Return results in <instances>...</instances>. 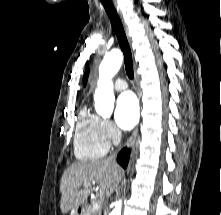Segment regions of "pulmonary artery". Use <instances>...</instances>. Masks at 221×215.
<instances>
[{
	"mask_svg": "<svg viewBox=\"0 0 221 215\" xmlns=\"http://www.w3.org/2000/svg\"><path fill=\"white\" fill-rule=\"evenodd\" d=\"M128 85L127 82L124 79L118 78L114 82V88L117 91H123L127 89Z\"/></svg>",
	"mask_w": 221,
	"mask_h": 215,
	"instance_id": "pulmonary-artery-1",
	"label": "pulmonary artery"
}]
</instances>
